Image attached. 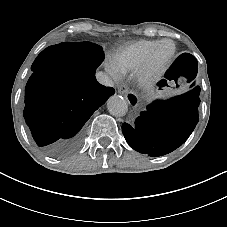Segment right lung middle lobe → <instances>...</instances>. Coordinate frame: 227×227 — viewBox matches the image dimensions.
I'll return each mask as SVG.
<instances>
[{"mask_svg": "<svg viewBox=\"0 0 227 227\" xmlns=\"http://www.w3.org/2000/svg\"><path fill=\"white\" fill-rule=\"evenodd\" d=\"M71 54L78 59L84 68L96 69L103 61L104 54L99 45L91 42H70ZM35 71L36 69H33Z\"/></svg>", "mask_w": 227, "mask_h": 227, "instance_id": "right-lung-middle-lobe-1", "label": "right lung middle lobe"}]
</instances>
